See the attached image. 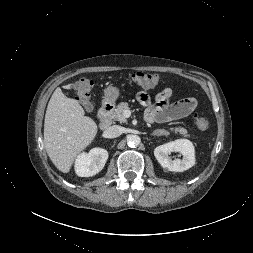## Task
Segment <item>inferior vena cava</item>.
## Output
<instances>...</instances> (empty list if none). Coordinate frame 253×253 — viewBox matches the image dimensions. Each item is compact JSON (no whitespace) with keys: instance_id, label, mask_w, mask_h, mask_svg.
I'll return each instance as SVG.
<instances>
[{"instance_id":"1","label":"inferior vena cava","mask_w":253,"mask_h":253,"mask_svg":"<svg viewBox=\"0 0 253 253\" xmlns=\"http://www.w3.org/2000/svg\"><path fill=\"white\" fill-rule=\"evenodd\" d=\"M123 129L121 126L118 125H113L108 127L105 131H104V135L107 138H115L118 137L122 134Z\"/></svg>"}]
</instances>
